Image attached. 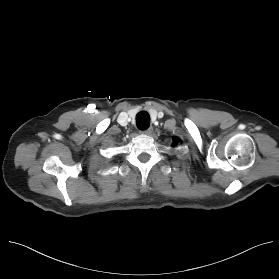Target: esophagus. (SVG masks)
Instances as JSON below:
<instances>
[{
    "label": "esophagus",
    "instance_id": "obj_1",
    "mask_svg": "<svg viewBox=\"0 0 279 279\" xmlns=\"http://www.w3.org/2000/svg\"><path fill=\"white\" fill-rule=\"evenodd\" d=\"M152 132H153L152 127H149L148 129L141 131V133L145 135H150Z\"/></svg>",
    "mask_w": 279,
    "mask_h": 279
}]
</instances>
